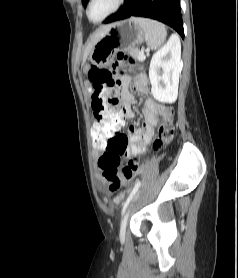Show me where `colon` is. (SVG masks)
I'll use <instances>...</instances> for the list:
<instances>
[{
    "label": "colon",
    "instance_id": "obj_1",
    "mask_svg": "<svg viewBox=\"0 0 238 278\" xmlns=\"http://www.w3.org/2000/svg\"><path fill=\"white\" fill-rule=\"evenodd\" d=\"M117 59L122 62L128 57L120 53ZM131 62V61H130ZM110 69H101L92 66L88 72V77L93 85L92 108L96 123L93 124L91 135L94 136L93 149H104V154L99 159V166L103 171V176L109 183L111 191L118 190L125 182L129 181L137 174L141 168L140 161L130 159L125 165L122 163L121 154H126L127 144H108L109 135H118L122 122V106L117 96L116 85L113 84V77L109 76ZM122 72H118V76ZM172 113L171 110H169ZM173 136V126L171 122H166L158 127L154 148L160 149L169 142ZM123 195L117 196V201H121Z\"/></svg>",
    "mask_w": 238,
    "mask_h": 278
}]
</instances>
